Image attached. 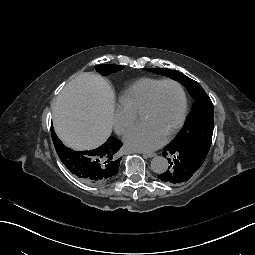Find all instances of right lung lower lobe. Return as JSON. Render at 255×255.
I'll return each mask as SVG.
<instances>
[{
	"label": "right lung lower lobe",
	"instance_id": "1",
	"mask_svg": "<svg viewBox=\"0 0 255 255\" xmlns=\"http://www.w3.org/2000/svg\"><path fill=\"white\" fill-rule=\"evenodd\" d=\"M83 159V176L86 178L97 177L100 174V169L97 167L100 163V158L97 154L81 155Z\"/></svg>",
	"mask_w": 255,
	"mask_h": 255
}]
</instances>
